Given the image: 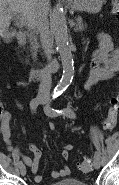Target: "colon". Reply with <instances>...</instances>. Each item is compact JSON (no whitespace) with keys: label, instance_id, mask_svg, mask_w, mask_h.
<instances>
[{"label":"colon","instance_id":"1","mask_svg":"<svg viewBox=\"0 0 119 185\" xmlns=\"http://www.w3.org/2000/svg\"><path fill=\"white\" fill-rule=\"evenodd\" d=\"M112 14L115 16H119V3L115 0L112 4ZM1 119L4 117V113L0 111ZM117 117H118V97L114 96L109 101L108 112L105 117L103 128L107 132H111L116 124H117ZM2 122V120H1ZM79 169L82 173H88L92 170V162L90 159H84L79 164Z\"/></svg>","mask_w":119,"mask_h":185}]
</instances>
